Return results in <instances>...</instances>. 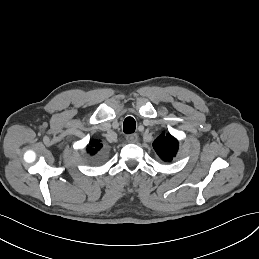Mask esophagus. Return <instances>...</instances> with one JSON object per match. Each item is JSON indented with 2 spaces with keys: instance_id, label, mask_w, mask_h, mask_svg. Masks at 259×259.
<instances>
[{
  "instance_id": "esophagus-1",
  "label": "esophagus",
  "mask_w": 259,
  "mask_h": 259,
  "mask_svg": "<svg viewBox=\"0 0 259 259\" xmlns=\"http://www.w3.org/2000/svg\"><path fill=\"white\" fill-rule=\"evenodd\" d=\"M137 134L136 133H133V134H130V135H127L126 136V140L128 143H135L137 141Z\"/></svg>"
}]
</instances>
